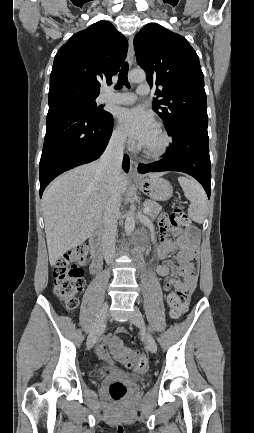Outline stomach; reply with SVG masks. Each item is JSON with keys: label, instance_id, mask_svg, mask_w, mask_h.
Instances as JSON below:
<instances>
[{"label": "stomach", "instance_id": "stomach-1", "mask_svg": "<svg viewBox=\"0 0 254 433\" xmlns=\"http://www.w3.org/2000/svg\"><path fill=\"white\" fill-rule=\"evenodd\" d=\"M137 185L153 200L165 201L168 200L173 194V188L171 184L160 177L143 178L136 181Z\"/></svg>", "mask_w": 254, "mask_h": 433}]
</instances>
